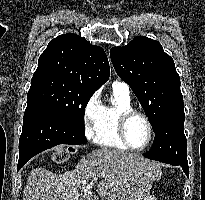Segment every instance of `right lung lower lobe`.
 Instances as JSON below:
<instances>
[{
    "label": "right lung lower lobe",
    "mask_w": 205,
    "mask_h": 200,
    "mask_svg": "<svg viewBox=\"0 0 205 200\" xmlns=\"http://www.w3.org/2000/svg\"><path fill=\"white\" fill-rule=\"evenodd\" d=\"M85 133L42 104L31 102L23 117L17 170L36 154L60 144H84Z\"/></svg>",
    "instance_id": "right-lung-lower-lobe-1"
}]
</instances>
